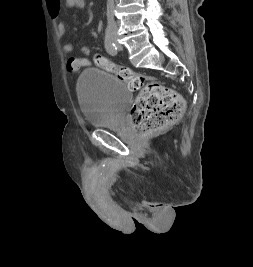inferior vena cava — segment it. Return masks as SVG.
Here are the masks:
<instances>
[{
	"mask_svg": "<svg viewBox=\"0 0 253 267\" xmlns=\"http://www.w3.org/2000/svg\"><path fill=\"white\" fill-rule=\"evenodd\" d=\"M109 4L107 6V22L108 28H116V24L113 18V10H114V0H108Z\"/></svg>",
	"mask_w": 253,
	"mask_h": 267,
	"instance_id": "602c4592",
	"label": "inferior vena cava"
}]
</instances>
